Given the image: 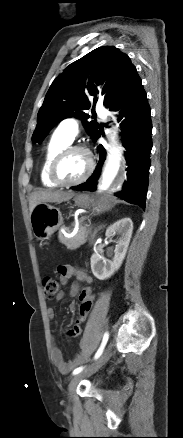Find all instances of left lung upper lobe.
<instances>
[{"mask_svg":"<svg viewBox=\"0 0 183 438\" xmlns=\"http://www.w3.org/2000/svg\"><path fill=\"white\" fill-rule=\"evenodd\" d=\"M136 77V67L118 48L102 46L89 52L70 64L51 84L38 112L32 141L41 143L54 125L73 116L82 120L94 139L99 132L98 123L88 122L90 116L83 110L90 108V99L96 102L98 86L105 83L101 94L105 95L104 106L111 107Z\"/></svg>","mask_w":183,"mask_h":438,"instance_id":"5c2ea615","label":"left lung upper lobe"}]
</instances>
